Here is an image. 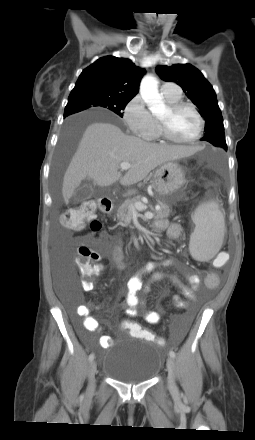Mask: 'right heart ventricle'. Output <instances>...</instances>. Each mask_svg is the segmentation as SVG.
<instances>
[{
	"label": "right heart ventricle",
	"mask_w": 255,
	"mask_h": 440,
	"mask_svg": "<svg viewBox=\"0 0 255 440\" xmlns=\"http://www.w3.org/2000/svg\"><path fill=\"white\" fill-rule=\"evenodd\" d=\"M162 94H163V97H164L166 103L169 105H172V104H175V103L182 101L181 94H173V93H171V94L162 93ZM160 133H161L160 126L157 124V130H156L155 134L153 136L148 137V138H155V137L159 136Z\"/></svg>",
	"instance_id": "obj_1"
}]
</instances>
